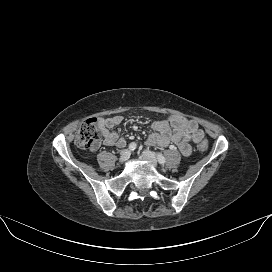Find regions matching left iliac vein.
<instances>
[{
  "instance_id": "left-iliac-vein-1",
  "label": "left iliac vein",
  "mask_w": 272,
  "mask_h": 272,
  "mask_svg": "<svg viewBox=\"0 0 272 272\" xmlns=\"http://www.w3.org/2000/svg\"><path fill=\"white\" fill-rule=\"evenodd\" d=\"M142 156L145 160L149 161L153 166L157 167V165H158L157 159H156V156L153 152H151L149 150H144L142 152Z\"/></svg>"
}]
</instances>
